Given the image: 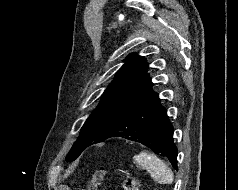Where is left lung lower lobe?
<instances>
[{"label":"left lung lower lobe","mask_w":238,"mask_h":190,"mask_svg":"<svg viewBox=\"0 0 238 190\" xmlns=\"http://www.w3.org/2000/svg\"><path fill=\"white\" fill-rule=\"evenodd\" d=\"M173 133L174 128L167 116V111L160 103L159 95L150 87L122 113L103 141L119 136L139 142L155 153L167 157L174 168L178 169V152L173 141Z\"/></svg>","instance_id":"0a47b994"}]
</instances>
